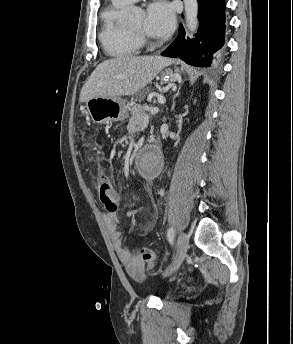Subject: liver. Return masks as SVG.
<instances>
[{
	"label": "liver",
	"instance_id": "6515ba94",
	"mask_svg": "<svg viewBox=\"0 0 293 344\" xmlns=\"http://www.w3.org/2000/svg\"><path fill=\"white\" fill-rule=\"evenodd\" d=\"M161 56H120L100 63L85 82L80 102L95 97L134 95L171 64Z\"/></svg>",
	"mask_w": 293,
	"mask_h": 344
}]
</instances>
